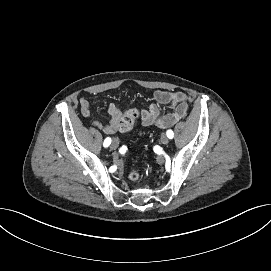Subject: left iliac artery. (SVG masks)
I'll return each mask as SVG.
<instances>
[{"instance_id":"44dca946","label":"left iliac artery","mask_w":271,"mask_h":271,"mask_svg":"<svg viewBox=\"0 0 271 271\" xmlns=\"http://www.w3.org/2000/svg\"><path fill=\"white\" fill-rule=\"evenodd\" d=\"M166 134H167V136H168L169 139H172L173 136H174V133H173L172 130H168V131L166 132Z\"/></svg>"}]
</instances>
